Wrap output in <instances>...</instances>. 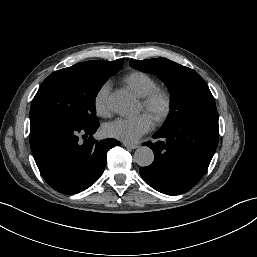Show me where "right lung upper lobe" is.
I'll list each match as a JSON object with an SVG mask.
<instances>
[{
    "label": "right lung upper lobe",
    "instance_id": "obj_1",
    "mask_svg": "<svg viewBox=\"0 0 257 257\" xmlns=\"http://www.w3.org/2000/svg\"><path fill=\"white\" fill-rule=\"evenodd\" d=\"M88 66H91L97 70L100 71H107V70H113V69H120L123 65L122 60H116V61H87L82 62Z\"/></svg>",
    "mask_w": 257,
    "mask_h": 257
}]
</instances>
